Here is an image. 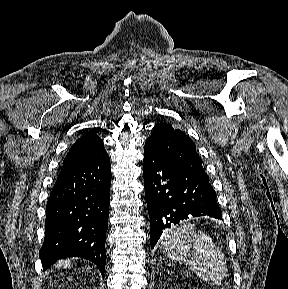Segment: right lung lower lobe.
<instances>
[{"mask_svg": "<svg viewBox=\"0 0 288 289\" xmlns=\"http://www.w3.org/2000/svg\"><path fill=\"white\" fill-rule=\"evenodd\" d=\"M111 166L107 153L63 165L46 208L44 270L69 256L92 261L102 276L108 229Z\"/></svg>", "mask_w": 288, "mask_h": 289, "instance_id": "98d812e1", "label": "right lung lower lobe"}]
</instances>
